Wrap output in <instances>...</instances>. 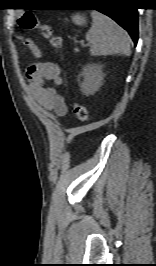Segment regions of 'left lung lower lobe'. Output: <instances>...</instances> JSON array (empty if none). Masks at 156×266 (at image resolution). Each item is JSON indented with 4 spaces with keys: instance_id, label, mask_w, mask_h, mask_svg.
Segmentation results:
<instances>
[{
    "instance_id": "1",
    "label": "left lung lower lobe",
    "mask_w": 156,
    "mask_h": 266,
    "mask_svg": "<svg viewBox=\"0 0 156 266\" xmlns=\"http://www.w3.org/2000/svg\"><path fill=\"white\" fill-rule=\"evenodd\" d=\"M112 2H114V0H89V4L91 6H98L97 8L93 9L106 14L115 20L126 31H128L132 40L134 41V44L136 45L138 41L137 9L130 7L129 4L124 0H119L120 4L117 6L112 4Z\"/></svg>"
}]
</instances>
